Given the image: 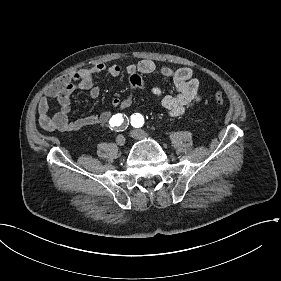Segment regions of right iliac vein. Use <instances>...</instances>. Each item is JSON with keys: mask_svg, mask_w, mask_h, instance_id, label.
<instances>
[{"mask_svg": "<svg viewBox=\"0 0 281 281\" xmlns=\"http://www.w3.org/2000/svg\"><path fill=\"white\" fill-rule=\"evenodd\" d=\"M116 144L118 146H124V144H125V137L123 135H118L116 137Z\"/></svg>", "mask_w": 281, "mask_h": 281, "instance_id": "1", "label": "right iliac vein"}]
</instances>
